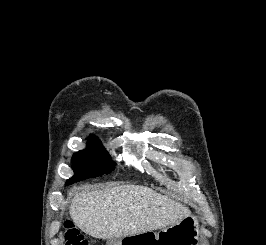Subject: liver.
Returning a JSON list of instances; mask_svg holds the SVG:
<instances>
[{
	"label": "liver",
	"mask_w": 266,
	"mask_h": 245,
	"mask_svg": "<svg viewBox=\"0 0 266 245\" xmlns=\"http://www.w3.org/2000/svg\"><path fill=\"white\" fill-rule=\"evenodd\" d=\"M76 227L95 239H122L177 225L191 211L142 185H110L77 193L69 211Z\"/></svg>",
	"instance_id": "6515ba94"
}]
</instances>
